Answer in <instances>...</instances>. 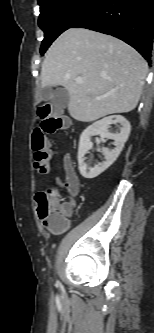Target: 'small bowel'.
Masks as SVG:
<instances>
[{"label": "small bowel", "mask_w": 154, "mask_h": 333, "mask_svg": "<svg viewBox=\"0 0 154 333\" xmlns=\"http://www.w3.org/2000/svg\"><path fill=\"white\" fill-rule=\"evenodd\" d=\"M63 169L65 179L64 181H62L57 178V183L63 186L70 195V199L64 202V207L67 213H70L74 206V201L72 197L75 196L79 190V179L75 171L71 156L69 154H66L63 158Z\"/></svg>", "instance_id": "obj_1"}]
</instances>
